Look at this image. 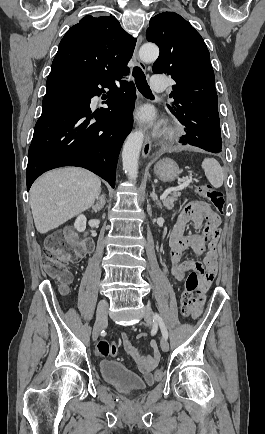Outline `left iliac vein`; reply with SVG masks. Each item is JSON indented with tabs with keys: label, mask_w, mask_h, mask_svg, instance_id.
Returning <instances> with one entry per match:
<instances>
[{
	"label": "left iliac vein",
	"mask_w": 265,
	"mask_h": 434,
	"mask_svg": "<svg viewBox=\"0 0 265 434\" xmlns=\"http://www.w3.org/2000/svg\"><path fill=\"white\" fill-rule=\"evenodd\" d=\"M143 317H144V320L147 324L151 325L153 323L154 315H153L151 307L148 304L144 305ZM160 346H161V349L163 351H168V349H169V344L164 337L161 338Z\"/></svg>",
	"instance_id": "4c4485c4"
}]
</instances>
